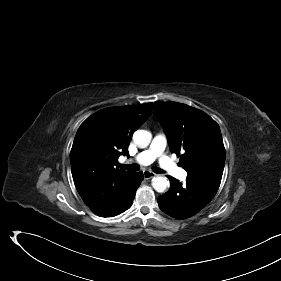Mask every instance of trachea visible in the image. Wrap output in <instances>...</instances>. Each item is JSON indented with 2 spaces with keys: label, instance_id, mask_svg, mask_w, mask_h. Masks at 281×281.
I'll return each mask as SVG.
<instances>
[{
  "label": "trachea",
  "instance_id": "3493384b",
  "mask_svg": "<svg viewBox=\"0 0 281 281\" xmlns=\"http://www.w3.org/2000/svg\"><path fill=\"white\" fill-rule=\"evenodd\" d=\"M121 168H124L127 171H138L140 170V166L137 164H129V165H120ZM153 171L157 174L163 173L164 171L158 167H154Z\"/></svg>",
  "mask_w": 281,
  "mask_h": 281
}]
</instances>
